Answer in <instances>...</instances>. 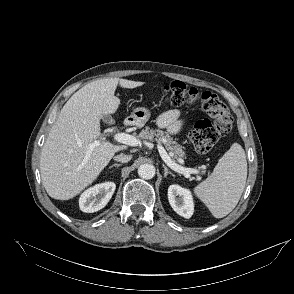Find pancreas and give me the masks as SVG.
<instances>
[{
	"label": "pancreas",
	"mask_w": 294,
	"mask_h": 294,
	"mask_svg": "<svg viewBox=\"0 0 294 294\" xmlns=\"http://www.w3.org/2000/svg\"><path fill=\"white\" fill-rule=\"evenodd\" d=\"M139 138L150 141H156L157 143H163L167 150H169L174 159H180L185 157V152L182 147L165 131L160 129H151L146 126L145 129L139 134Z\"/></svg>",
	"instance_id": "pancreas-1"
}]
</instances>
